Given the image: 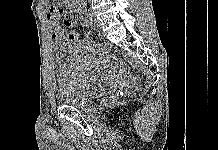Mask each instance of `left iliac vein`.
<instances>
[{
    "instance_id": "left-iliac-vein-1",
    "label": "left iliac vein",
    "mask_w": 218,
    "mask_h": 150,
    "mask_svg": "<svg viewBox=\"0 0 218 150\" xmlns=\"http://www.w3.org/2000/svg\"><path fill=\"white\" fill-rule=\"evenodd\" d=\"M88 19H89V23L92 28H95V29L101 28V22L93 14H89Z\"/></svg>"
}]
</instances>
